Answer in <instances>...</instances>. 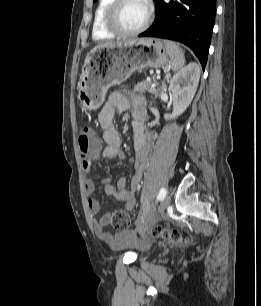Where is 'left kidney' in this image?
Returning <instances> with one entry per match:
<instances>
[{
    "label": "left kidney",
    "mask_w": 261,
    "mask_h": 306,
    "mask_svg": "<svg viewBox=\"0 0 261 306\" xmlns=\"http://www.w3.org/2000/svg\"><path fill=\"white\" fill-rule=\"evenodd\" d=\"M199 79L200 67L196 63H189L172 77L169 89L173 94V112L165 114V120L176 118L187 109L195 96Z\"/></svg>",
    "instance_id": "left-kidney-1"
}]
</instances>
